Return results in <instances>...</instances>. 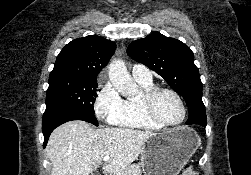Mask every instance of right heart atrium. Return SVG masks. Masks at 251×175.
I'll return each instance as SVG.
<instances>
[{
    "label": "right heart atrium",
    "mask_w": 251,
    "mask_h": 175,
    "mask_svg": "<svg viewBox=\"0 0 251 175\" xmlns=\"http://www.w3.org/2000/svg\"><path fill=\"white\" fill-rule=\"evenodd\" d=\"M100 82L93 104L95 115L102 122L116 124L124 111L125 101L111 81L101 77Z\"/></svg>",
    "instance_id": "d8ad5b80"
}]
</instances>
